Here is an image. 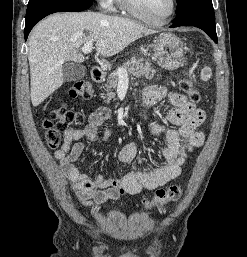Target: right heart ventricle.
I'll use <instances>...</instances> for the list:
<instances>
[{
	"label": "right heart ventricle",
	"mask_w": 247,
	"mask_h": 257,
	"mask_svg": "<svg viewBox=\"0 0 247 257\" xmlns=\"http://www.w3.org/2000/svg\"><path fill=\"white\" fill-rule=\"evenodd\" d=\"M116 1H117L118 5H119L121 8H123L122 0H116Z\"/></svg>",
	"instance_id": "obj_1"
}]
</instances>
